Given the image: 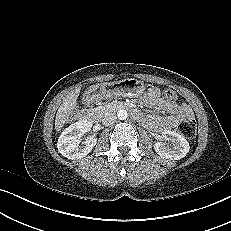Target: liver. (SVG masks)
Returning a JSON list of instances; mask_svg holds the SVG:
<instances>
[{
    "mask_svg": "<svg viewBox=\"0 0 231 231\" xmlns=\"http://www.w3.org/2000/svg\"><path fill=\"white\" fill-rule=\"evenodd\" d=\"M78 95L79 90L68 94L63 103L60 105L55 118V129L57 132L61 131L64 124L68 121L72 110L77 104Z\"/></svg>",
    "mask_w": 231,
    "mask_h": 231,
    "instance_id": "6515ba94",
    "label": "liver"
}]
</instances>
